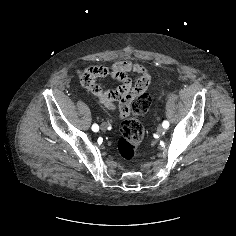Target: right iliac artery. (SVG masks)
Instances as JSON below:
<instances>
[{
  "mask_svg": "<svg viewBox=\"0 0 236 236\" xmlns=\"http://www.w3.org/2000/svg\"><path fill=\"white\" fill-rule=\"evenodd\" d=\"M92 130H93L94 132L99 131V126H98L97 124H93V125H92Z\"/></svg>",
  "mask_w": 236,
  "mask_h": 236,
  "instance_id": "obj_1",
  "label": "right iliac artery"
}]
</instances>
